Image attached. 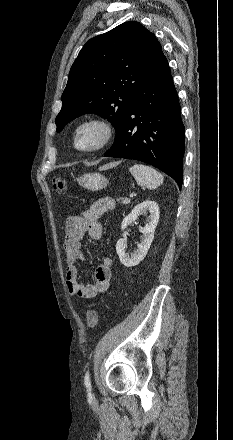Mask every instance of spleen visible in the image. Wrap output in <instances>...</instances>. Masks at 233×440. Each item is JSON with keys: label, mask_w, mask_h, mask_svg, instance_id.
Segmentation results:
<instances>
[{"label": "spleen", "mask_w": 233, "mask_h": 440, "mask_svg": "<svg viewBox=\"0 0 233 440\" xmlns=\"http://www.w3.org/2000/svg\"><path fill=\"white\" fill-rule=\"evenodd\" d=\"M129 171L138 185L148 189H156L164 180L160 172L148 165L134 164Z\"/></svg>", "instance_id": "3e777b00"}]
</instances>
